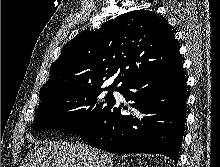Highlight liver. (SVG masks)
Listing matches in <instances>:
<instances>
[{"label": "liver", "mask_w": 220, "mask_h": 167, "mask_svg": "<svg viewBox=\"0 0 220 167\" xmlns=\"http://www.w3.org/2000/svg\"><path fill=\"white\" fill-rule=\"evenodd\" d=\"M20 167H114L113 156L84 144L43 141Z\"/></svg>", "instance_id": "liver-1"}]
</instances>
